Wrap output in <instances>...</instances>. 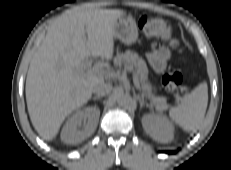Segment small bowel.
Returning a JSON list of instances; mask_svg holds the SVG:
<instances>
[{
    "label": "small bowel",
    "instance_id": "c3829d8e",
    "mask_svg": "<svg viewBox=\"0 0 231 170\" xmlns=\"http://www.w3.org/2000/svg\"><path fill=\"white\" fill-rule=\"evenodd\" d=\"M170 57V51L160 43H155L153 50L148 55L152 67L158 73H162L165 70Z\"/></svg>",
    "mask_w": 231,
    "mask_h": 170
}]
</instances>
